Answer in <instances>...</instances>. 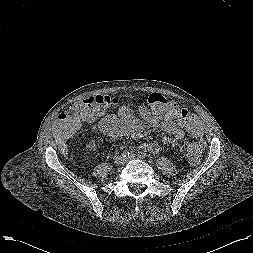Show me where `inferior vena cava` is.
<instances>
[{
    "label": "inferior vena cava",
    "instance_id": "602c4592",
    "mask_svg": "<svg viewBox=\"0 0 253 253\" xmlns=\"http://www.w3.org/2000/svg\"><path fill=\"white\" fill-rule=\"evenodd\" d=\"M116 161L118 163H122V162L126 161V158L124 156H119V157H117Z\"/></svg>",
    "mask_w": 253,
    "mask_h": 253
}]
</instances>
